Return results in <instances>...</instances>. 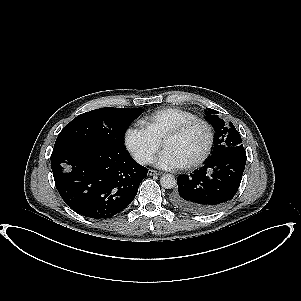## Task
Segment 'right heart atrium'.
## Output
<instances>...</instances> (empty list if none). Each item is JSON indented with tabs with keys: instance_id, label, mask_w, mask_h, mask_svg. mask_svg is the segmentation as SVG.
Masks as SVG:
<instances>
[{
	"instance_id": "1",
	"label": "right heart atrium",
	"mask_w": 301,
	"mask_h": 301,
	"mask_svg": "<svg viewBox=\"0 0 301 301\" xmlns=\"http://www.w3.org/2000/svg\"><path fill=\"white\" fill-rule=\"evenodd\" d=\"M125 145L141 163H148L159 151L160 142L145 128L129 127L125 132Z\"/></svg>"
}]
</instances>
